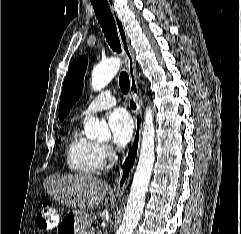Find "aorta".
I'll return each instance as SVG.
<instances>
[{
    "instance_id": "1",
    "label": "aorta",
    "mask_w": 241,
    "mask_h": 234,
    "mask_svg": "<svg viewBox=\"0 0 241 234\" xmlns=\"http://www.w3.org/2000/svg\"><path fill=\"white\" fill-rule=\"evenodd\" d=\"M121 65L120 58L112 57L97 64L91 74V86L95 91L103 89L117 74ZM142 132L141 151L131 185L127 207L121 226L116 234H132L142 215L145 204L146 191L155 161V128L153 111L146 108ZM87 138H109L110 131L105 122L97 118H90L84 125Z\"/></svg>"
}]
</instances>
